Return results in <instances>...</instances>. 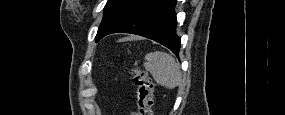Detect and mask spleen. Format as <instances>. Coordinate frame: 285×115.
Wrapping results in <instances>:
<instances>
[{
    "instance_id": "spleen-1",
    "label": "spleen",
    "mask_w": 285,
    "mask_h": 115,
    "mask_svg": "<svg viewBox=\"0 0 285 115\" xmlns=\"http://www.w3.org/2000/svg\"><path fill=\"white\" fill-rule=\"evenodd\" d=\"M144 67L150 72L157 84L168 88H176L181 81L180 65L166 52H150L145 55Z\"/></svg>"
}]
</instances>
